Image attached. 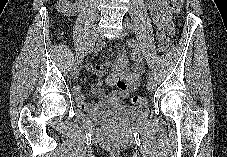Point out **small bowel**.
Masks as SVG:
<instances>
[{
  "instance_id": "c3829d8e",
  "label": "small bowel",
  "mask_w": 227,
  "mask_h": 157,
  "mask_svg": "<svg viewBox=\"0 0 227 157\" xmlns=\"http://www.w3.org/2000/svg\"><path fill=\"white\" fill-rule=\"evenodd\" d=\"M148 10L152 16L153 22L159 28H171V6L170 0H146ZM103 46V45H101ZM131 58L133 60L132 68L127 65L126 53H119L113 64L112 73L106 75L109 68L108 62L99 64H87L86 69L96 76V81L92 85V92L98 97L99 102H87L82 94V88L75 86L73 93L78 106L88 112H92L109 105L119 104L130 92L134 91L144 72V62L140 49L134 43L129 45ZM103 84L116 87V90L106 94Z\"/></svg>"
}]
</instances>
